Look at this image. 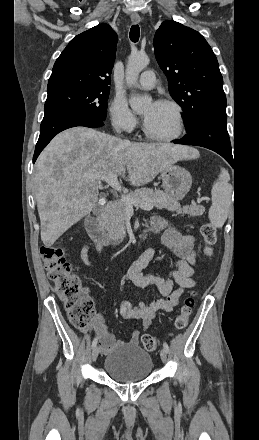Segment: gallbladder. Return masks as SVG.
<instances>
[{"instance_id": "1", "label": "gallbladder", "mask_w": 259, "mask_h": 440, "mask_svg": "<svg viewBox=\"0 0 259 440\" xmlns=\"http://www.w3.org/2000/svg\"><path fill=\"white\" fill-rule=\"evenodd\" d=\"M102 209V207L99 204L95 205V213H99V211Z\"/></svg>"}]
</instances>
